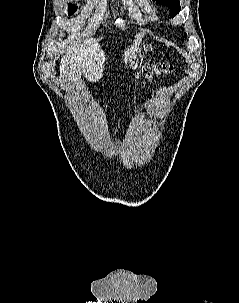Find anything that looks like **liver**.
I'll list each match as a JSON object with an SVG mask.
<instances>
[{"mask_svg":"<svg viewBox=\"0 0 239 303\" xmlns=\"http://www.w3.org/2000/svg\"><path fill=\"white\" fill-rule=\"evenodd\" d=\"M142 33L137 37L141 38ZM137 41L124 51V61L133 49L137 46ZM107 60L104 51L100 48L99 40L87 38L75 47L67 51V54L61 58L60 77L70 86L75 85L81 78V73L85 79L90 82L99 81L102 78L104 63Z\"/></svg>","mask_w":239,"mask_h":303,"instance_id":"6515ba94","label":"liver"}]
</instances>
